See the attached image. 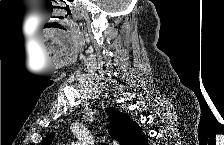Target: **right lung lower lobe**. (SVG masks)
<instances>
[{
    "instance_id": "obj_1",
    "label": "right lung lower lobe",
    "mask_w": 224,
    "mask_h": 145,
    "mask_svg": "<svg viewBox=\"0 0 224 145\" xmlns=\"http://www.w3.org/2000/svg\"><path fill=\"white\" fill-rule=\"evenodd\" d=\"M147 144H148V138H146V139L143 141L142 145H147Z\"/></svg>"
}]
</instances>
